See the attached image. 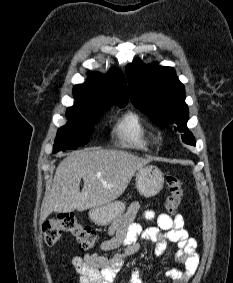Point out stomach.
<instances>
[{"label": "stomach", "mask_w": 233, "mask_h": 283, "mask_svg": "<svg viewBox=\"0 0 233 283\" xmlns=\"http://www.w3.org/2000/svg\"><path fill=\"white\" fill-rule=\"evenodd\" d=\"M137 191L144 197L156 196L163 188L164 175L154 165L139 168L136 173ZM125 210V204L121 201L112 202L104 206L94 207L89 216L98 225H107L116 220Z\"/></svg>", "instance_id": "obj_1"}]
</instances>
